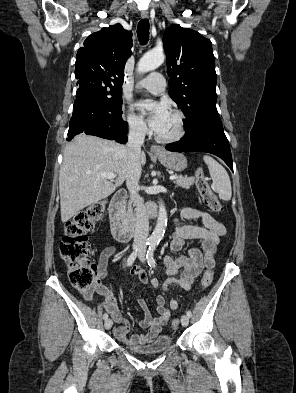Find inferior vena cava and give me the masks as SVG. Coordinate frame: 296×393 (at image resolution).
I'll return each instance as SVG.
<instances>
[{
	"mask_svg": "<svg viewBox=\"0 0 296 393\" xmlns=\"http://www.w3.org/2000/svg\"><path fill=\"white\" fill-rule=\"evenodd\" d=\"M147 127L143 122L129 124L128 142L123 146L122 152L127 166L126 185L130 193V199L135 206L136 227L134 232V246L145 247L149 234L148 215L144 206L143 198L138 194L139 179L141 176L140 153L144 143Z\"/></svg>",
	"mask_w": 296,
	"mask_h": 393,
	"instance_id": "inferior-vena-cava-1",
	"label": "inferior vena cava"
}]
</instances>
